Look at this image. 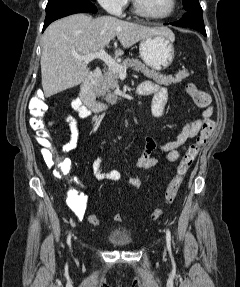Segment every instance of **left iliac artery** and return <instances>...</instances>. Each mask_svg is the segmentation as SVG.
Segmentation results:
<instances>
[{
    "label": "left iliac artery",
    "instance_id": "left-iliac-artery-1",
    "mask_svg": "<svg viewBox=\"0 0 240 287\" xmlns=\"http://www.w3.org/2000/svg\"><path fill=\"white\" fill-rule=\"evenodd\" d=\"M166 241H167V244L170 245V242H171V232L169 229H167L166 231Z\"/></svg>",
    "mask_w": 240,
    "mask_h": 287
}]
</instances>
